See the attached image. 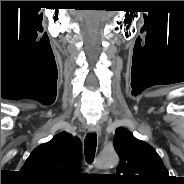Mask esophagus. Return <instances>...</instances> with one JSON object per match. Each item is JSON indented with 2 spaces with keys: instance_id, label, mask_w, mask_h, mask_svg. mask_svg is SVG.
<instances>
[{
  "instance_id": "34e87169",
  "label": "esophagus",
  "mask_w": 184,
  "mask_h": 184,
  "mask_svg": "<svg viewBox=\"0 0 184 184\" xmlns=\"http://www.w3.org/2000/svg\"><path fill=\"white\" fill-rule=\"evenodd\" d=\"M88 129L91 133L101 135V127L98 124H90Z\"/></svg>"
}]
</instances>
